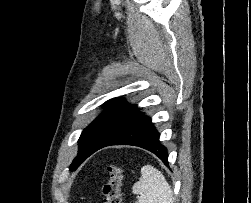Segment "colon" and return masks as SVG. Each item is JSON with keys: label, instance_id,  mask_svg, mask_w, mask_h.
<instances>
[{"label": "colon", "instance_id": "5ec220e1", "mask_svg": "<svg viewBox=\"0 0 251 203\" xmlns=\"http://www.w3.org/2000/svg\"><path fill=\"white\" fill-rule=\"evenodd\" d=\"M106 169L108 172V179L101 185L103 203H121L123 170L117 164H108Z\"/></svg>", "mask_w": 251, "mask_h": 203}]
</instances>
